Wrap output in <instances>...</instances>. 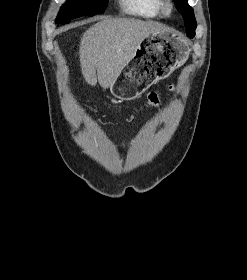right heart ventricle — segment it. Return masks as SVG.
I'll use <instances>...</instances> for the list:
<instances>
[{"label":"right heart ventricle","instance_id":"obj_1","mask_svg":"<svg viewBox=\"0 0 247 280\" xmlns=\"http://www.w3.org/2000/svg\"><path fill=\"white\" fill-rule=\"evenodd\" d=\"M158 0H120L124 12L143 18L160 17Z\"/></svg>","mask_w":247,"mask_h":280}]
</instances>
